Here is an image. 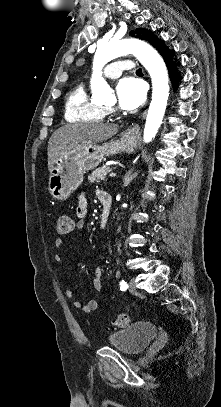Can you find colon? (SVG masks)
Segmentation results:
<instances>
[{
    "label": "colon",
    "mask_w": 221,
    "mask_h": 407,
    "mask_svg": "<svg viewBox=\"0 0 221 407\" xmlns=\"http://www.w3.org/2000/svg\"><path fill=\"white\" fill-rule=\"evenodd\" d=\"M73 228V221L69 215L62 213L58 216L56 221V232L59 235H67L71 232ZM113 324L116 328H125L129 324V314L128 312H122L118 314Z\"/></svg>",
    "instance_id": "colon-1"
}]
</instances>
